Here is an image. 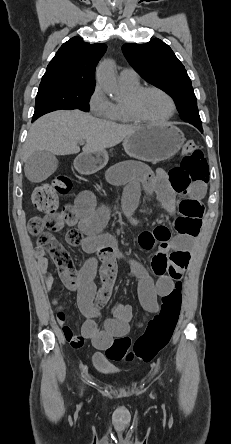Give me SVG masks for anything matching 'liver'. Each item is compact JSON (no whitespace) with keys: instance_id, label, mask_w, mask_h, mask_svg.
<instances>
[{"instance_id":"6515ba94","label":"liver","mask_w":231,"mask_h":444,"mask_svg":"<svg viewBox=\"0 0 231 444\" xmlns=\"http://www.w3.org/2000/svg\"><path fill=\"white\" fill-rule=\"evenodd\" d=\"M139 126L104 121L79 110H59L40 117L31 126L23 147V160L37 151L55 155L80 152L78 142L85 140L82 154L104 151L133 134Z\"/></svg>"}]
</instances>
